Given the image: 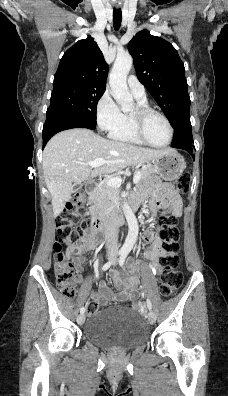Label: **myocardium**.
I'll list each match as a JSON object with an SVG mask.
<instances>
[{"label": "myocardium", "mask_w": 228, "mask_h": 396, "mask_svg": "<svg viewBox=\"0 0 228 396\" xmlns=\"http://www.w3.org/2000/svg\"><path fill=\"white\" fill-rule=\"evenodd\" d=\"M152 114H155V115H158L159 117H161L168 127L169 138H168V141L163 145H155V144L151 143L145 135V130H144L145 120L148 116H150ZM130 116H131V121H132L134 131H135L137 137L144 144H146L150 147H153V148L162 149V148L168 147L172 143V140L174 137L173 126H172L170 120L168 119V117L161 111H159L153 107H150L148 105L146 106V105L137 104V106L135 107V111L132 112L130 114Z\"/></svg>", "instance_id": "f54148a6"}]
</instances>
